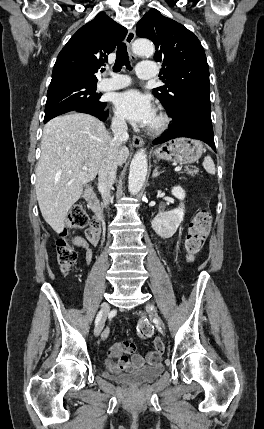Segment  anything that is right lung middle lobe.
<instances>
[{"instance_id":"right-lung-middle-lobe-1","label":"right lung middle lobe","mask_w":264,"mask_h":429,"mask_svg":"<svg viewBox=\"0 0 264 429\" xmlns=\"http://www.w3.org/2000/svg\"><path fill=\"white\" fill-rule=\"evenodd\" d=\"M99 99L96 84H67L49 88L44 121L76 109L103 110L106 103Z\"/></svg>"}]
</instances>
